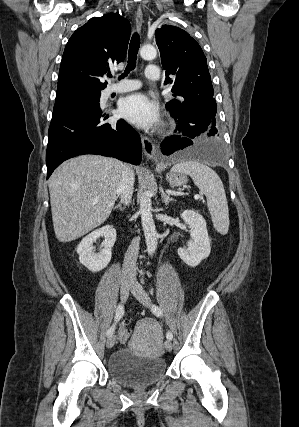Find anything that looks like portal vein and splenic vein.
<instances>
[{"label": "portal vein and splenic vein", "instance_id": "1", "mask_svg": "<svg viewBox=\"0 0 299 427\" xmlns=\"http://www.w3.org/2000/svg\"><path fill=\"white\" fill-rule=\"evenodd\" d=\"M194 198H195V200H198L199 198H201V196L200 195H195Z\"/></svg>", "mask_w": 299, "mask_h": 427}]
</instances>
